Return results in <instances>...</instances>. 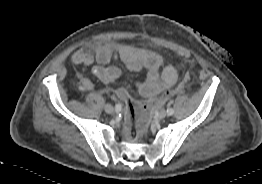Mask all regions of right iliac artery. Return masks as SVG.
<instances>
[{
    "label": "right iliac artery",
    "instance_id": "1",
    "mask_svg": "<svg viewBox=\"0 0 262 184\" xmlns=\"http://www.w3.org/2000/svg\"><path fill=\"white\" fill-rule=\"evenodd\" d=\"M115 110H116V112H119L121 110V105L119 103L116 104Z\"/></svg>",
    "mask_w": 262,
    "mask_h": 184
}]
</instances>
